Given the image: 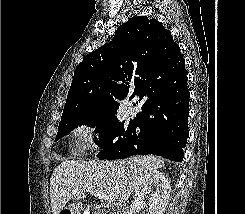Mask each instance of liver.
<instances>
[{
  "label": "liver",
  "instance_id": "liver-1",
  "mask_svg": "<svg viewBox=\"0 0 245 214\" xmlns=\"http://www.w3.org/2000/svg\"><path fill=\"white\" fill-rule=\"evenodd\" d=\"M164 166L155 156H135L121 161L64 160L53 171L50 179V199L53 214H59L73 199L86 197L87 184L95 191L111 194L125 203L148 172Z\"/></svg>",
  "mask_w": 245,
  "mask_h": 214
}]
</instances>
